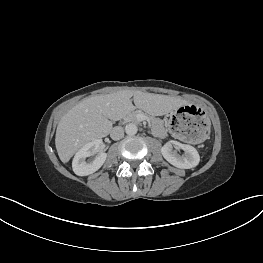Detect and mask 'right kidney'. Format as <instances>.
Here are the masks:
<instances>
[{
	"mask_svg": "<svg viewBox=\"0 0 263 263\" xmlns=\"http://www.w3.org/2000/svg\"><path fill=\"white\" fill-rule=\"evenodd\" d=\"M101 143L102 141L100 139H97L85 144L78 150L72 161V168L76 175H90L96 172L104 164L107 158V154L104 152L98 153L96 157L91 161L86 160L88 157H91L97 152Z\"/></svg>",
	"mask_w": 263,
	"mask_h": 263,
	"instance_id": "right-kidney-1",
	"label": "right kidney"
}]
</instances>
